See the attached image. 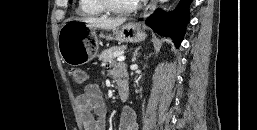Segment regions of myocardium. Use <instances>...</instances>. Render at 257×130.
<instances>
[{
  "label": "myocardium",
  "mask_w": 257,
  "mask_h": 130,
  "mask_svg": "<svg viewBox=\"0 0 257 130\" xmlns=\"http://www.w3.org/2000/svg\"><path fill=\"white\" fill-rule=\"evenodd\" d=\"M143 0H139L129 7H119L115 5L112 0H95V2L104 10L116 14L132 13L141 7Z\"/></svg>",
  "instance_id": "f54148a6"
}]
</instances>
